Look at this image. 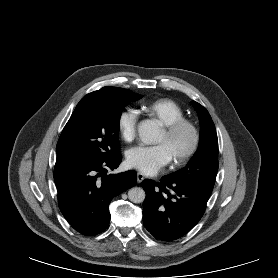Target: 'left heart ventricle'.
<instances>
[{
  "label": "left heart ventricle",
  "mask_w": 278,
  "mask_h": 278,
  "mask_svg": "<svg viewBox=\"0 0 278 278\" xmlns=\"http://www.w3.org/2000/svg\"><path fill=\"white\" fill-rule=\"evenodd\" d=\"M190 141L191 137L188 131H182L172 139H167L162 132L159 139L157 140V143L165 146L170 155V158L172 159L177 154L186 150L190 144Z\"/></svg>",
  "instance_id": "left-heart-ventricle-1"
}]
</instances>
